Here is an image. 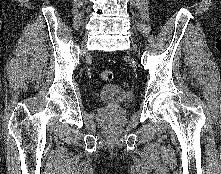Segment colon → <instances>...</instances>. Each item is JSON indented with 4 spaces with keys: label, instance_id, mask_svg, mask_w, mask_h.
Returning <instances> with one entry per match:
<instances>
[{
    "label": "colon",
    "instance_id": "colon-1",
    "mask_svg": "<svg viewBox=\"0 0 221 174\" xmlns=\"http://www.w3.org/2000/svg\"><path fill=\"white\" fill-rule=\"evenodd\" d=\"M100 75H101V78L107 82H110L114 79V74L111 70H107V69L103 70Z\"/></svg>",
    "mask_w": 221,
    "mask_h": 174
}]
</instances>
